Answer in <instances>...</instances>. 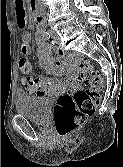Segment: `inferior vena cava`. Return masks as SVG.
<instances>
[{
    "label": "inferior vena cava",
    "mask_w": 123,
    "mask_h": 167,
    "mask_svg": "<svg viewBox=\"0 0 123 167\" xmlns=\"http://www.w3.org/2000/svg\"><path fill=\"white\" fill-rule=\"evenodd\" d=\"M43 1V0H42ZM43 8H46L45 4H43Z\"/></svg>",
    "instance_id": "inferior-vena-cava-1"
}]
</instances>
